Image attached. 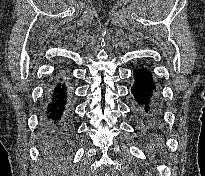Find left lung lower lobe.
Here are the masks:
<instances>
[{"instance_id": "left-lung-lower-lobe-1", "label": "left lung lower lobe", "mask_w": 205, "mask_h": 176, "mask_svg": "<svg viewBox=\"0 0 205 176\" xmlns=\"http://www.w3.org/2000/svg\"><path fill=\"white\" fill-rule=\"evenodd\" d=\"M134 84L131 87L132 94L137 103L138 114L144 124L151 123L157 118V107L155 102V83L152 73L141 68L133 73Z\"/></svg>"}]
</instances>
